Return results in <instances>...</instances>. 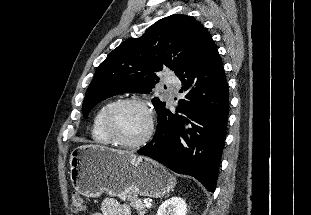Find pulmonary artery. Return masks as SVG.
<instances>
[{
  "label": "pulmonary artery",
  "instance_id": "obj_1",
  "mask_svg": "<svg viewBox=\"0 0 311 215\" xmlns=\"http://www.w3.org/2000/svg\"><path fill=\"white\" fill-rule=\"evenodd\" d=\"M165 82H166L167 84L173 85V86L175 87L176 90H177L178 87H179V84H178L176 78H175L174 76H172V75H166V76H165Z\"/></svg>",
  "mask_w": 311,
  "mask_h": 215
}]
</instances>
